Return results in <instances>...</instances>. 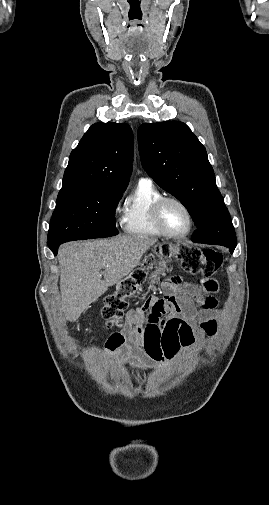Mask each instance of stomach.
Here are the masks:
<instances>
[{"mask_svg":"<svg viewBox=\"0 0 269 505\" xmlns=\"http://www.w3.org/2000/svg\"><path fill=\"white\" fill-rule=\"evenodd\" d=\"M166 262H160L150 276V285L153 287L160 280V275H163L166 269Z\"/></svg>","mask_w":269,"mask_h":505,"instance_id":"1","label":"stomach"}]
</instances>
